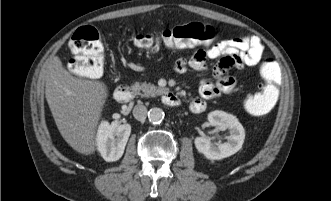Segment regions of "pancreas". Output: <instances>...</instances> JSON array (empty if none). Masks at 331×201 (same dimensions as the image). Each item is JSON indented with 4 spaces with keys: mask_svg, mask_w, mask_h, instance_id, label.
Instances as JSON below:
<instances>
[{
    "mask_svg": "<svg viewBox=\"0 0 331 201\" xmlns=\"http://www.w3.org/2000/svg\"><path fill=\"white\" fill-rule=\"evenodd\" d=\"M132 89L137 93L141 94L140 91L143 92V96L145 97H155L157 95H161L164 91L163 88L157 87L151 83H134L132 85Z\"/></svg>",
    "mask_w": 331,
    "mask_h": 201,
    "instance_id": "pancreas-1",
    "label": "pancreas"
}]
</instances>
